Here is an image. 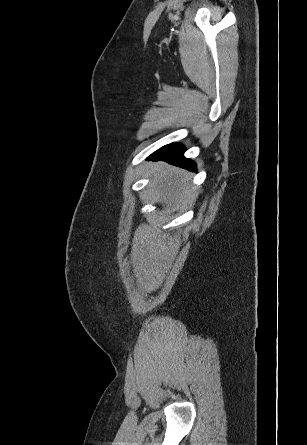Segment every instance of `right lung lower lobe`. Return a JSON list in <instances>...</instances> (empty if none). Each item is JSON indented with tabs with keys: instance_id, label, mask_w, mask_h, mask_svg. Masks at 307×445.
Instances as JSON below:
<instances>
[{
	"instance_id": "1",
	"label": "right lung lower lobe",
	"mask_w": 307,
	"mask_h": 445,
	"mask_svg": "<svg viewBox=\"0 0 307 445\" xmlns=\"http://www.w3.org/2000/svg\"><path fill=\"white\" fill-rule=\"evenodd\" d=\"M184 151L185 148L183 146L179 144H170L155 151L151 156H149L148 160H163L173 165L196 172L195 163L189 159L184 158Z\"/></svg>"
}]
</instances>
